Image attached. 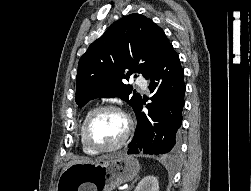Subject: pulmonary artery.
<instances>
[{
    "label": "pulmonary artery",
    "mask_w": 251,
    "mask_h": 191,
    "mask_svg": "<svg viewBox=\"0 0 251 191\" xmlns=\"http://www.w3.org/2000/svg\"><path fill=\"white\" fill-rule=\"evenodd\" d=\"M137 82H139V86L142 88V89H147V83L146 81L144 80V77H142V73H137Z\"/></svg>",
    "instance_id": "obj_1"
}]
</instances>
